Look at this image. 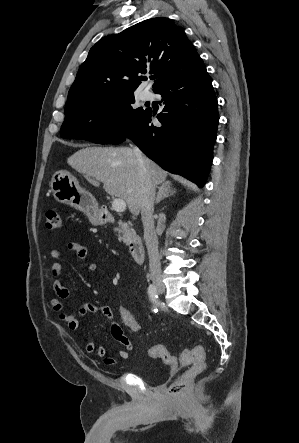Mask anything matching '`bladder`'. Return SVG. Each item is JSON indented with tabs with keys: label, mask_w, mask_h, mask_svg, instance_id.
I'll use <instances>...</instances> for the list:
<instances>
[{
	"label": "bladder",
	"mask_w": 299,
	"mask_h": 443,
	"mask_svg": "<svg viewBox=\"0 0 299 443\" xmlns=\"http://www.w3.org/2000/svg\"><path fill=\"white\" fill-rule=\"evenodd\" d=\"M133 372L137 374L143 381L149 384H156L162 381L167 376V372L155 373L151 370L140 369L138 368V365L134 366Z\"/></svg>",
	"instance_id": "obj_1"
}]
</instances>
